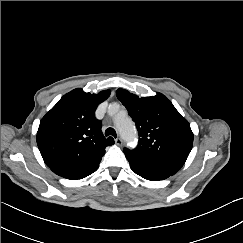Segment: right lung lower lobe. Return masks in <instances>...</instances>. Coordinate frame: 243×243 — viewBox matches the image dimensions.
<instances>
[{
	"instance_id": "1",
	"label": "right lung lower lobe",
	"mask_w": 243,
	"mask_h": 243,
	"mask_svg": "<svg viewBox=\"0 0 243 243\" xmlns=\"http://www.w3.org/2000/svg\"><path fill=\"white\" fill-rule=\"evenodd\" d=\"M98 166H96L95 168L83 173V174H80L78 176H75V177H71V178H68V179H73V180H76V179H82L90 174H92L93 172H95L97 170Z\"/></svg>"
}]
</instances>
